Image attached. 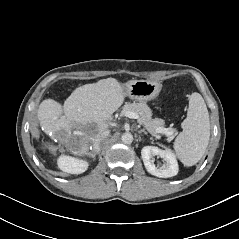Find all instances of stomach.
Here are the masks:
<instances>
[{
  "label": "stomach",
  "mask_w": 239,
  "mask_h": 239,
  "mask_svg": "<svg viewBox=\"0 0 239 239\" xmlns=\"http://www.w3.org/2000/svg\"><path fill=\"white\" fill-rule=\"evenodd\" d=\"M161 84L151 80H132L124 85L127 97L140 102H147L158 97Z\"/></svg>",
  "instance_id": "0dacf381"
}]
</instances>
